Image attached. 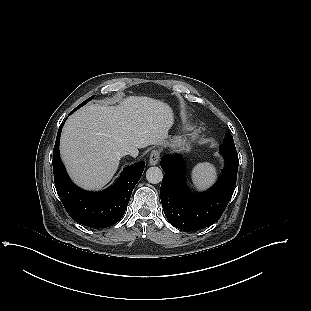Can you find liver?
<instances>
[{"label":"liver","mask_w":311,"mask_h":311,"mask_svg":"<svg viewBox=\"0 0 311 311\" xmlns=\"http://www.w3.org/2000/svg\"><path fill=\"white\" fill-rule=\"evenodd\" d=\"M174 123L171 107L145 96H129L118 106L91 104L71 115L60 140L61 158L72 180L97 190L116 173L125 155L162 144Z\"/></svg>","instance_id":"6515ba94"}]
</instances>
